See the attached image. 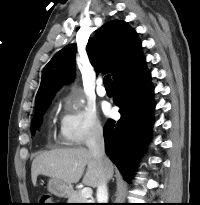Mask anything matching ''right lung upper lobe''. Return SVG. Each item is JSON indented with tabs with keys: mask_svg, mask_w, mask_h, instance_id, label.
Returning a JSON list of instances; mask_svg holds the SVG:
<instances>
[{
	"mask_svg": "<svg viewBox=\"0 0 200 205\" xmlns=\"http://www.w3.org/2000/svg\"><path fill=\"white\" fill-rule=\"evenodd\" d=\"M91 64L97 73L113 76V83L124 77L145 58L137 33L124 21L113 20L104 24L86 47ZM75 47L69 45L56 53L45 66L36 107L44 100L52 99L56 90L73 78Z\"/></svg>",
	"mask_w": 200,
	"mask_h": 205,
	"instance_id": "cb5924a9",
	"label": "right lung upper lobe"
}]
</instances>
